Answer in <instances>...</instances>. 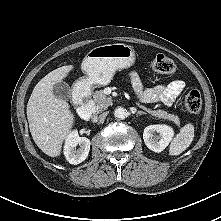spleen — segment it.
I'll return each mask as SVG.
<instances>
[{
	"label": "spleen",
	"mask_w": 221,
	"mask_h": 221,
	"mask_svg": "<svg viewBox=\"0 0 221 221\" xmlns=\"http://www.w3.org/2000/svg\"><path fill=\"white\" fill-rule=\"evenodd\" d=\"M194 139V126L191 123L184 125L169 147V154L176 156L185 151Z\"/></svg>",
	"instance_id": "spleen-1"
}]
</instances>
